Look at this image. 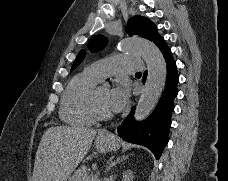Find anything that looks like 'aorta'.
Instances as JSON below:
<instances>
[{
  "label": "aorta",
  "mask_w": 228,
  "mask_h": 181,
  "mask_svg": "<svg viewBox=\"0 0 228 181\" xmlns=\"http://www.w3.org/2000/svg\"><path fill=\"white\" fill-rule=\"evenodd\" d=\"M121 47L126 52L140 55L148 68L144 90L135 110L136 120L145 119L158 103L166 82V62L158 47L142 38L125 39Z\"/></svg>",
  "instance_id": "aorta-1"
}]
</instances>
